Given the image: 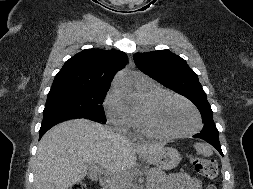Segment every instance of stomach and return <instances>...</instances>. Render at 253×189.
I'll use <instances>...</instances> for the list:
<instances>
[{
  "label": "stomach",
  "instance_id": "obj_1",
  "mask_svg": "<svg viewBox=\"0 0 253 189\" xmlns=\"http://www.w3.org/2000/svg\"><path fill=\"white\" fill-rule=\"evenodd\" d=\"M147 159L150 164H153L160 169L169 170L179 164L181 156L177 149L165 147L156 154L148 156Z\"/></svg>",
  "mask_w": 253,
  "mask_h": 189
}]
</instances>
